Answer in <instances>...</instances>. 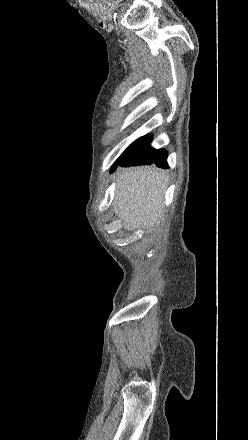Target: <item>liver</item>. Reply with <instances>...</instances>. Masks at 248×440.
<instances>
[{"mask_svg": "<svg viewBox=\"0 0 248 440\" xmlns=\"http://www.w3.org/2000/svg\"><path fill=\"white\" fill-rule=\"evenodd\" d=\"M166 188L167 175L156 167L123 171L118 177L113 209L124 229L153 231L163 218Z\"/></svg>", "mask_w": 248, "mask_h": 440, "instance_id": "obj_1", "label": "liver"}]
</instances>
